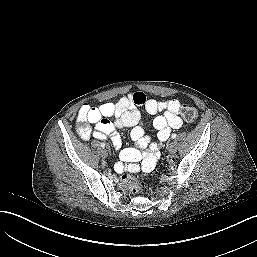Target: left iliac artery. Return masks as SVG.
Segmentation results:
<instances>
[{
	"instance_id": "obj_1",
	"label": "left iliac artery",
	"mask_w": 257,
	"mask_h": 257,
	"mask_svg": "<svg viewBox=\"0 0 257 257\" xmlns=\"http://www.w3.org/2000/svg\"><path fill=\"white\" fill-rule=\"evenodd\" d=\"M176 137H177L176 134H172V135H171V138H172V139H175Z\"/></svg>"
}]
</instances>
